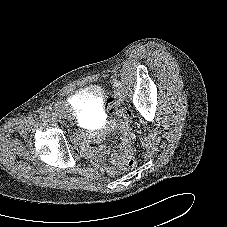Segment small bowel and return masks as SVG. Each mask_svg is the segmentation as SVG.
Returning a JSON list of instances; mask_svg holds the SVG:
<instances>
[{"instance_id":"c3829d8e","label":"small bowel","mask_w":227,"mask_h":227,"mask_svg":"<svg viewBox=\"0 0 227 227\" xmlns=\"http://www.w3.org/2000/svg\"><path fill=\"white\" fill-rule=\"evenodd\" d=\"M84 149H85V151H87V152H91V147H90L89 144H86V145L84 146ZM101 150H105V149H101ZM115 163H116V161L114 160L111 164L105 166V169H106L110 174H116V172H117L116 164H115Z\"/></svg>"}]
</instances>
